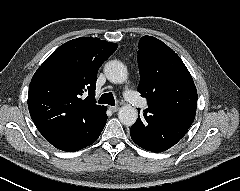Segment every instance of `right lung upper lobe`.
<instances>
[{
	"mask_svg": "<svg viewBox=\"0 0 240 191\" xmlns=\"http://www.w3.org/2000/svg\"><path fill=\"white\" fill-rule=\"evenodd\" d=\"M117 47L99 38L80 37L58 47L43 62L28 93L30 116L43 136L79 129L100 118L106 107L94 98L97 72Z\"/></svg>",
	"mask_w": 240,
	"mask_h": 191,
	"instance_id": "right-lung-upper-lobe-1",
	"label": "right lung upper lobe"
}]
</instances>
